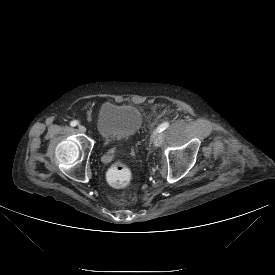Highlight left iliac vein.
I'll return each instance as SVG.
<instances>
[{
  "mask_svg": "<svg viewBox=\"0 0 275 275\" xmlns=\"http://www.w3.org/2000/svg\"><path fill=\"white\" fill-rule=\"evenodd\" d=\"M164 137L162 133H157L154 137V145L159 147L163 143Z\"/></svg>",
  "mask_w": 275,
  "mask_h": 275,
  "instance_id": "4c4485c4",
  "label": "left iliac vein"
}]
</instances>
